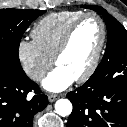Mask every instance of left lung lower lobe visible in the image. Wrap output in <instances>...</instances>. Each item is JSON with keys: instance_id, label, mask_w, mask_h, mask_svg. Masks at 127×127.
<instances>
[{"instance_id": "1", "label": "left lung lower lobe", "mask_w": 127, "mask_h": 127, "mask_svg": "<svg viewBox=\"0 0 127 127\" xmlns=\"http://www.w3.org/2000/svg\"><path fill=\"white\" fill-rule=\"evenodd\" d=\"M73 111L67 127H127V53H121L67 94Z\"/></svg>"}]
</instances>
